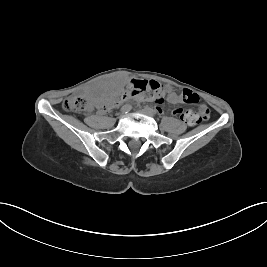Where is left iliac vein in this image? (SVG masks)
Instances as JSON below:
<instances>
[{"label":"left iliac vein","instance_id":"4c4485c4","mask_svg":"<svg viewBox=\"0 0 267 267\" xmlns=\"http://www.w3.org/2000/svg\"><path fill=\"white\" fill-rule=\"evenodd\" d=\"M140 113H142V114H144V115H146V116H150V117L153 116V115H152L150 112H148L146 109H142V110H140Z\"/></svg>","mask_w":267,"mask_h":267}]
</instances>
